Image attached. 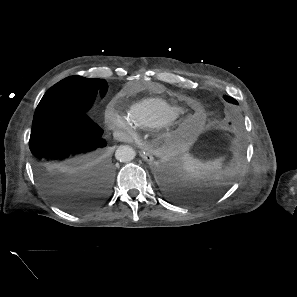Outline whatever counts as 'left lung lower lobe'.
Listing matches in <instances>:
<instances>
[{
    "label": "left lung lower lobe",
    "mask_w": 297,
    "mask_h": 297,
    "mask_svg": "<svg viewBox=\"0 0 297 297\" xmlns=\"http://www.w3.org/2000/svg\"><path fill=\"white\" fill-rule=\"evenodd\" d=\"M162 176L168 189L177 197H193V195H196L199 197L212 198L220 195L224 190V186L221 185L199 188V190L194 191L190 190V188L186 186L187 182L182 178L181 172L174 166H165L162 170Z\"/></svg>",
    "instance_id": "left-lung-lower-lobe-1"
}]
</instances>
